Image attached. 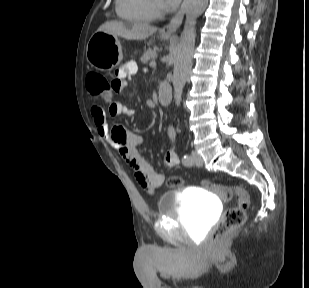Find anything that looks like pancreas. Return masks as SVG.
<instances>
[{"label": "pancreas", "mask_w": 309, "mask_h": 288, "mask_svg": "<svg viewBox=\"0 0 309 288\" xmlns=\"http://www.w3.org/2000/svg\"><path fill=\"white\" fill-rule=\"evenodd\" d=\"M158 48L154 47L153 49H148L141 57V62L142 63H147L149 61H154L155 57H156V52H157Z\"/></svg>", "instance_id": "cf45deb5"}]
</instances>
